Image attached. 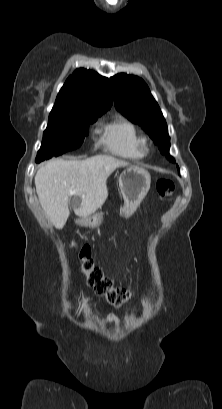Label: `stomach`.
I'll list each match as a JSON object with an SVG mask.
<instances>
[{"instance_id": "0dacf381", "label": "stomach", "mask_w": 222, "mask_h": 409, "mask_svg": "<svg viewBox=\"0 0 222 409\" xmlns=\"http://www.w3.org/2000/svg\"><path fill=\"white\" fill-rule=\"evenodd\" d=\"M151 177L147 170L139 166L127 167L119 177V187L124 199L120 215L128 218L147 195ZM102 222L101 215L79 216L75 223L80 227L93 228Z\"/></svg>"}]
</instances>
